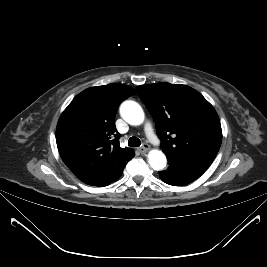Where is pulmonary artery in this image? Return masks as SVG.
<instances>
[{
  "label": "pulmonary artery",
  "instance_id": "pulmonary-artery-1",
  "mask_svg": "<svg viewBox=\"0 0 267 267\" xmlns=\"http://www.w3.org/2000/svg\"><path fill=\"white\" fill-rule=\"evenodd\" d=\"M145 133L147 135V137L154 143H158V139L155 135L154 129L151 125V123H146L145 127H144Z\"/></svg>",
  "mask_w": 267,
  "mask_h": 267
}]
</instances>
